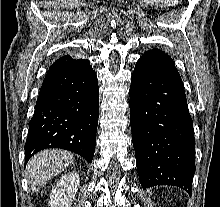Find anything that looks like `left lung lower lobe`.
I'll list each match as a JSON object with an SVG mask.
<instances>
[{
  "instance_id": "1",
  "label": "left lung lower lobe",
  "mask_w": 220,
  "mask_h": 207,
  "mask_svg": "<svg viewBox=\"0 0 220 207\" xmlns=\"http://www.w3.org/2000/svg\"><path fill=\"white\" fill-rule=\"evenodd\" d=\"M130 124L143 188L173 185L192 194L195 139L184 86L171 57L152 49L137 61Z\"/></svg>"
}]
</instances>
